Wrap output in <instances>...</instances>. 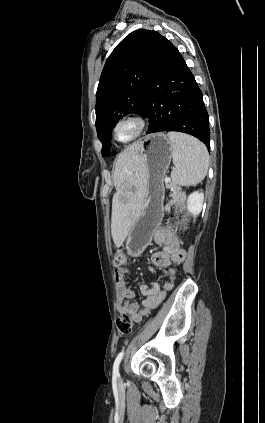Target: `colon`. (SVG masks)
I'll use <instances>...</instances> for the list:
<instances>
[{
    "label": "colon",
    "mask_w": 265,
    "mask_h": 423,
    "mask_svg": "<svg viewBox=\"0 0 265 423\" xmlns=\"http://www.w3.org/2000/svg\"><path fill=\"white\" fill-rule=\"evenodd\" d=\"M182 223L181 220L178 221ZM126 261V256L122 252H118L114 258V263L117 267L122 266ZM116 325L118 332L121 335H129L132 333L134 325L130 316L126 313H121L116 319Z\"/></svg>",
    "instance_id": "obj_1"
}]
</instances>
